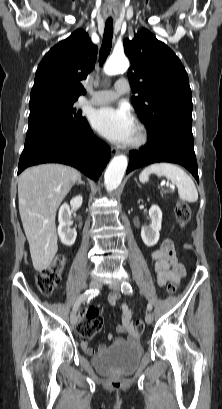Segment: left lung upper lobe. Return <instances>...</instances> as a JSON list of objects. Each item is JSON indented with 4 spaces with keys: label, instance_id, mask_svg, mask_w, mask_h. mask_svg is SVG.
<instances>
[{
    "label": "left lung upper lobe",
    "instance_id": "5c2ea615",
    "mask_svg": "<svg viewBox=\"0 0 222 409\" xmlns=\"http://www.w3.org/2000/svg\"><path fill=\"white\" fill-rule=\"evenodd\" d=\"M131 61L132 104L148 132L162 124L192 127V94L187 72L174 52L146 29L124 41Z\"/></svg>",
    "mask_w": 222,
    "mask_h": 409
}]
</instances>
